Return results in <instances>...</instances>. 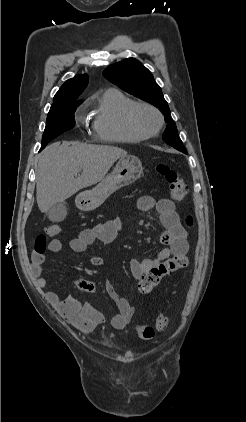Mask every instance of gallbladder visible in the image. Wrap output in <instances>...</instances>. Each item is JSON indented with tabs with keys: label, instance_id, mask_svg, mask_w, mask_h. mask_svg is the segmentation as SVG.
Masks as SVG:
<instances>
[{
	"label": "gallbladder",
	"instance_id": "obj_1",
	"mask_svg": "<svg viewBox=\"0 0 246 422\" xmlns=\"http://www.w3.org/2000/svg\"><path fill=\"white\" fill-rule=\"evenodd\" d=\"M47 216L49 219L53 222H61L63 221L67 216V208L65 202H59L52 206L47 211Z\"/></svg>",
	"mask_w": 246,
	"mask_h": 422
}]
</instances>
